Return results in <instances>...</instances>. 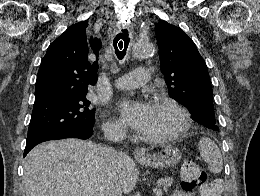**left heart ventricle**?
Wrapping results in <instances>:
<instances>
[{
  "label": "left heart ventricle",
  "instance_id": "1",
  "mask_svg": "<svg viewBox=\"0 0 260 196\" xmlns=\"http://www.w3.org/2000/svg\"><path fill=\"white\" fill-rule=\"evenodd\" d=\"M180 123V115L174 108L151 103L150 117L145 132L160 135L177 128Z\"/></svg>",
  "mask_w": 260,
  "mask_h": 196
}]
</instances>
